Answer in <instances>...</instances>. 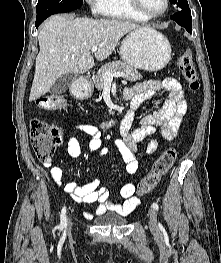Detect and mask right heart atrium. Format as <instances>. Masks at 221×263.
Listing matches in <instances>:
<instances>
[{
	"label": "right heart atrium",
	"instance_id": "d8ad5b80",
	"mask_svg": "<svg viewBox=\"0 0 221 263\" xmlns=\"http://www.w3.org/2000/svg\"><path fill=\"white\" fill-rule=\"evenodd\" d=\"M86 2L93 14H102L103 0H86Z\"/></svg>",
	"mask_w": 221,
	"mask_h": 263
}]
</instances>
